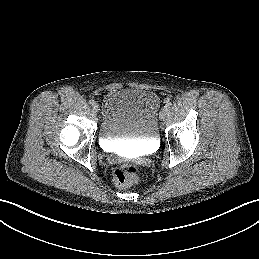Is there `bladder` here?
<instances>
[{
	"label": "bladder",
	"instance_id": "bladder-1",
	"mask_svg": "<svg viewBox=\"0 0 259 259\" xmlns=\"http://www.w3.org/2000/svg\"><path fill=\"white\" fill-rule=\"evenodd\" d=\"M158 95L145 89L126 88L107 93L102 101L99 138L105 143L149 145L158 136Z\"/></svg>",
	"mask_w": 259,
	"mask_h": 259
}]
</instances>
